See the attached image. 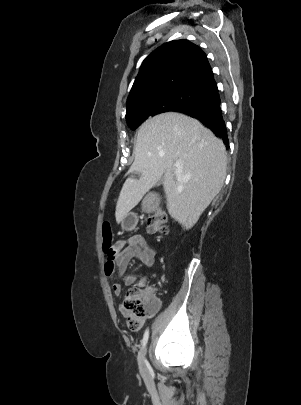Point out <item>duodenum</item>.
I'll return each instance as SVG.
<instances>
[{"label": "duodenum", "mask_w": 301, "mask_h": 405, "mask_svg": "<svg viewBox=\"0 0 301 405\" xmlns=\"http://www.w3.org/2000/svg\"><path fill=\"white\" fill-rule=\"evenodd\" d=\"M142 206L146 208L149 213H157L162 206V201L157 194H148L146 199L142 201Z\"/></svg>", "instance_id": "obj_1"}]
</instances>
